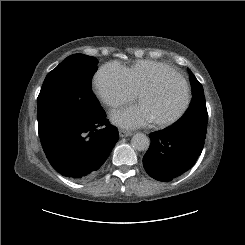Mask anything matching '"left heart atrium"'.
I'll return each instance as SVG.
<instances>
[{"label": "left heart atrium", "instance_id": "1", "mask_svg": "<svg viewBox=\"0 0 245 245\" xmlns=\"http://www.w3.org/2000/svg\"><path fill=\"white\" fill-rule=\"evenodd\" d=\"M110 118L115 125L128 130L146 127L154 122L147 108L140 103L113 112Z\"/></svg>", "mask_w": 245, "mask_h": 245}]
</instances>
